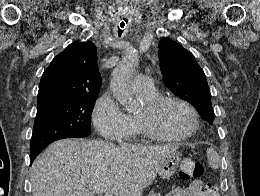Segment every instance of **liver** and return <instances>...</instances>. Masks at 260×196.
<instances>
[{
  "label": "liver",
  "mask_w": 260,
  "mask_h": 196,
  "mask_svg": "<svg viewBox=\"0 0 260 196\" xmlns=\"http://www.w3.org/2000/svg\"><path fill=\"white\" fill-rule=\"evenodd\" d=\"M178 146H115L112 142L58 140L30 170L33 196H141L155 180L163 158Z\"/></svg>",
  "instance_id": "6515ba94"
}]
</instances>
